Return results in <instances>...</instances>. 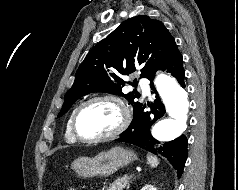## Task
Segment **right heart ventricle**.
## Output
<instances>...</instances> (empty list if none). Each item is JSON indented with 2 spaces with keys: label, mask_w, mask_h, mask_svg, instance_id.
I'll list each match as a JSON object with an SVG mask.
<instances>
[{
  "label": "right heart ventricle",
  "mask_w": 238,
  "mask_h": 190,
  "mask_svg": "<svg viewBox=\"0 0 238 190\" xmlns=\"http://www.w3.org/2000/svg\"><path fill=\"white\" fill-rule=\"evenodd\" d=\"M72 117V116H71ZM71 117L67 123V127H66V131H65V139L68 142H75L76 138L72 133V129H71Z\"/></svg>",
  "instance_id": "1"
}]
</instances>
